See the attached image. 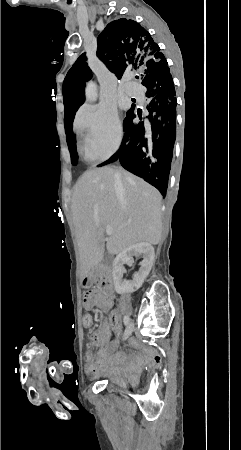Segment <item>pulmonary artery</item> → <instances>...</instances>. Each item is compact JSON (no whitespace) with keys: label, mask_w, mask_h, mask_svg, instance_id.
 <instances>
[{"label":"pulmonary artery","mask_w":241,"mask_h":450,"mask_svg":"<svg viewBox=\"0 0 241 450\" xmlns=\"http://www.w3.org/2000/svg\"><path fill=\"white\" fill-rule=\"evenodd\" d=\"M124 84H125V85H128V84H129V81H128V80H125V81H124Z\"/></svg>","instance_id":"pulmonary-artery-1"}]
</instances>
